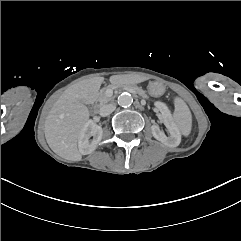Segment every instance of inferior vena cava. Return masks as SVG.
Returning a JSON list of instances; mask_svg holds the SVG:
<instances>
[{
  "label": "inferior vena cava",
  "mask_w": 241,
  "mask_h": 241,
  "mask_svg": "<svg viewBox=\"0 0 241 241\" xmlns=\"http://www.w3.org/2000/svg\"><path fill=\"white\" fill-rule=\"evenodd\" d=\"M115 109H116L115 105L105 104V105L100 107L99 114L102 117H106V116L110 115L112 112H114Z\"/></svg>",
  "instance_id": "inferior-vena-cava-1"
}]
</instances>
